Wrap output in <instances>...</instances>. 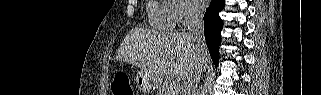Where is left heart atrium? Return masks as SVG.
<instances>
[{
	"label": "left heart atrium",
	"mask_w": 321,
	"mask_h": 95,
	"mask_svg": "<svg viewBox=\"0 0 321 95\" xmlns=\"http://www.w3.org/2000/svg\"><path fill=\"white\" fill-rule=\"evenodd\" d=\"M195 2L201 7L205 6L207 3L206 0H196Z\"/></svg>",
	"instance_id": "obj_1"
}]
</instances>
